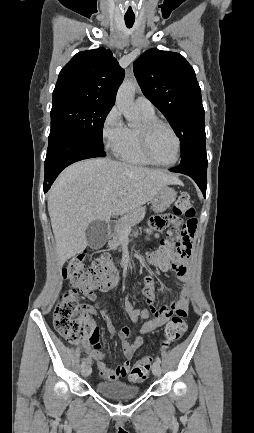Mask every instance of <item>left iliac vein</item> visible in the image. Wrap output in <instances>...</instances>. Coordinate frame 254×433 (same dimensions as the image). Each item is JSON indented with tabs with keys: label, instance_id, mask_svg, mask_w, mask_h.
Segmentation results:
<instances>
[{
	"label": "left iliac vein",
	"instance_id": "left-iliac-vein-1",
	"mask_svg": "<svg viewBox=\"0 0 254 433\" xmlns=\"http://www.w3.org/2000/svg\"><path fill=\"white\" fill-rule=\"evenodd\" d=\"M152 372L155 376H160L161 374V366L158 362H154L152 366Z\"/></svg>",
	"mask_w": 254,
	"mask_h": 433
}]
</instances>
